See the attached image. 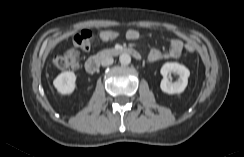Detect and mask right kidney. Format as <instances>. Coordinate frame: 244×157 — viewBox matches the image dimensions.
I'll list each match as a JSON object with an SVG mask.
<instances>
[{
    "label": "right kidney",
    "mask_w": 244,
    "mask_h": 157,
    "mask_svg": "<svg viewBox=\"0 0 244 157\" xmlns=\"http://www.w3.org/2000/svg\"><path fill=\"white\" fill-rule=\"evenodd\" d=\"M53 85L61 95H70L76 88V75L73 72H62L53 81Z\"/></svg>",
    "instance_id": "1"
}]
</instances>
